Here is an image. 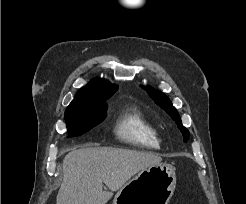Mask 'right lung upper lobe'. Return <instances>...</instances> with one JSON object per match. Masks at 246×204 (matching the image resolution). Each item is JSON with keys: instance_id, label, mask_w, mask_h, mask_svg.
I'll return each mask as SVG.
<instances>
[{"instance_id": "cb5924a9", "label": "right lung upper lobe", "mask_w": 246, "mask_h": 204, "mask_svg": "<svg viewBox=\"0 0 246 204\" xmlns=\"http://www.w3.org/2000/svg\"><path fill=\"white\" fill-rule=\"evenodd\" d=\"M117 89V85L111 84L105 79L95 78L78 90L69 106L82 105L93 98L111 97Z\"/></svg>"}]
</instances>
